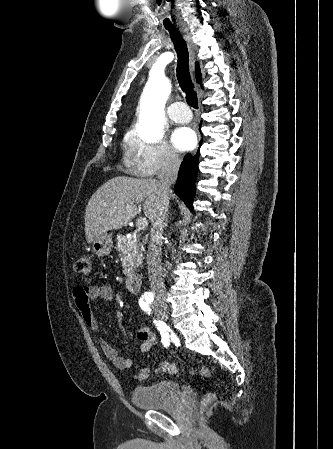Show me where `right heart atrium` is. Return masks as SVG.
<instances>
[{
    "instance_id": "right-heart-atrium-1",
    "label": "right heart atrium",
    "mask_w": 333,
    "mask_h": 449,
    "mask_svg": "<svg viewBox=\"0 0 333 449\" xmlns=\"http://www.w3.org/2000/svg\"><path fill=\"white\" fill-rule=\"evenodd\" d=\"M127 157L141 177L175 171L181 163L180 156L165 141L148 142L136 136L128 141Z\"/></svg>"
}]
</instances>
